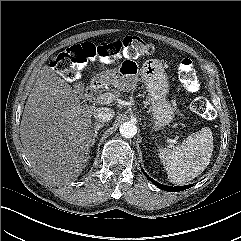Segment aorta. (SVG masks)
<instances>
[{"instance_id": "aorta-1", "label": "aorta", "mask_w": 241, "mask_h": 241, "mask_svg": "<svg viewBox=\"0 0 241 241\" xmlns=\"http://www.w3.org/2000/svg\"><path fill=\"white\" fill-rule=\"evenodd\" d=\"M120 134L125 138H132L137 133V127L134 123L128 121L120 125Z\"/></svg>"}]
</instances>
